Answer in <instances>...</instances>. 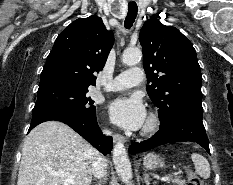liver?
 <instances>
[{
	"label": "liver",
	"instance_id": "liver-1",
	"mask_svg": "<svg viewBox=\"0 0 233 185\" xmlns=\"http://www.w3.org/2000/svg\"><path fill=\"white\" fill-rule=\"evenodd\" d=\"M99 156L66 124L44 122L25 138L17 185H64L66 175L75 176L69 185H90L92 164Z\"/></svg>",
	"mask_w": 233,
	"mask_h": 185
}]
</instances>
